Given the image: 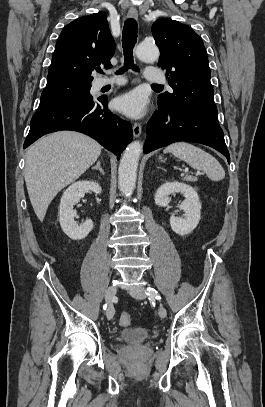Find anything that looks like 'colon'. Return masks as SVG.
I'll return each mask as SVG.
<instances>
[{"label": "colon", "instance_id": "5ec220e1", "mask_svg": "<svg viewBox=\"0 0 265 407\" xmlns=\"http://www.w3.org/2000/svg\"><path fill=\"white\" fill-rule=\"evenodd\" d=\"M131 321V315L127 312H123L120 314L119 317V325L122 327H126L130 324Z\"/></svg>", "mask_w": 265, "mask_h": 407}]
</instances>
